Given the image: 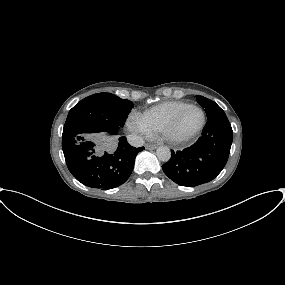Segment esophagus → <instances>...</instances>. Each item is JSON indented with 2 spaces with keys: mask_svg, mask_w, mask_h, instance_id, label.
I'll list each match as a JSON object with an SVG mask.
<instances>
[{
  "mask_svg": "<svg viewBox=\"0 0 285 285\" xmlns=\"http://www.w3.org/2000/svg\"><path fill=\"white\" fill-rule=\"evenodd\" d=\"M156 148V145L154 144H147L146 145V149L150 150V149H155Z\"/></svg>",
  "mask_w": 285,
  "mask_h": 285,
  "instance_id": "obj_1",
  "label": "esophagus"
}]
</instances>
